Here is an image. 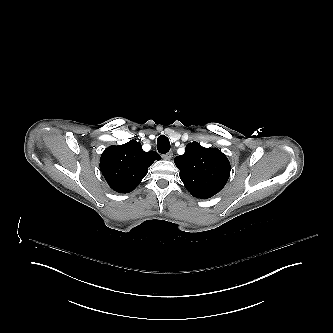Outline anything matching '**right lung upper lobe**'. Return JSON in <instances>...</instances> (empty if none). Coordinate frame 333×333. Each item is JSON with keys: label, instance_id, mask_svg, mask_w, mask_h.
Returning a JSON list of instances; mask_svg holds the SVG:
<instances>
[{"label": "right lung upper lobe", "instance_id": "1", "mask_svg": "<svg viewBox=\"0 0 333 333\" xmlns=\"http://www.w3.org/2000/svg\"><path fill=\"white\" fill-rule=\"evenodd\" d=\"M160 159L157 152H145L139 142L131 140L108 147L101 155L100 170L113 190L128 193L140 184L148 167Z\"/></svg>", "mask_w": 333, "mask_h": 333}]
</instances>
